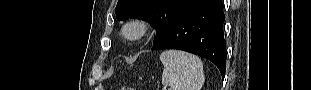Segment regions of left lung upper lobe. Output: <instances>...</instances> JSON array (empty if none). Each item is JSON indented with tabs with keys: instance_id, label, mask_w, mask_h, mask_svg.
<instances>
[{
	"instance_id": "1",
	"label": "left lung upper lobe",
	"mask_w": 311,
	"mask_h": 90,
	"mask_svg": "<svg viewBox=\"0 0 311 90\" xmlns=\"http://www.w3.org/2000/svg\"><path fill=\"white\" fill-rule=\"evenodd\" d=\"M200 0H119L116 6L118 20L138 18L151 22L156 28L157 44L174 21Z\"/></svg>"
}]
</instances>
